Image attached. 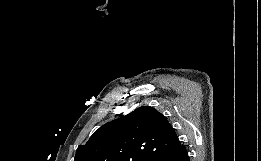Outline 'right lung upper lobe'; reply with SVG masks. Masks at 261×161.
<instances>
[{"mask_svg":"<svg viewBox=\"0 0 261 161\" xmlns=\"http://www.w3.org/2000/svg\"><path fill=\"white\" fill-rule=\"evenodd\" d=\"M183 145L167 119L150 106L102 125L74 161H151Z\"/></svg>","mask_w":261,"mask_h":161,"instance_id":"cb5924a9","label":"right lung upper lobe"}]
</instances>
